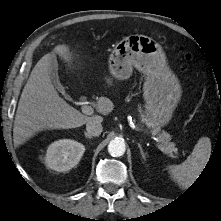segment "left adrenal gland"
<instances>
[{
    "mask_svg": "<svg viewBox=\"0 0 221 221\" xmlns=\"http://www.w3.org/2000/svg\"><path fill=\"white\" fill-rule=\"evenodd\" d=\"M138 147L140 149V153H141V156L144 160H146V153H144L143 149H142V146L140 145V143H138Z\"/></svg>",
    "mask_w": 221,
    "mask_h": 221,
    "instance_id": "1",
    "label": "left adrenal gland"
}]
</instances>
